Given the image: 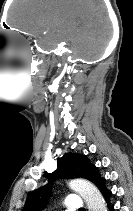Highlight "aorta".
I'll use <instances>...</instances> for the list:
<instances>
[{"instance_id":"aorta-1","label":"aorta","mask_w":133,"mask_h":211,"mask_svg":"<svg viewBox=\"0 0 133 211\" xmlns=\"http://www.w3.org/2000/svg\"><path fill=\"white\" fill-rule=\"evenodd\" d=\"M69 187L85 200L89 211H107L103 196L89 181L74 179L69 182Z\"/></svg>"}]
</instances>
